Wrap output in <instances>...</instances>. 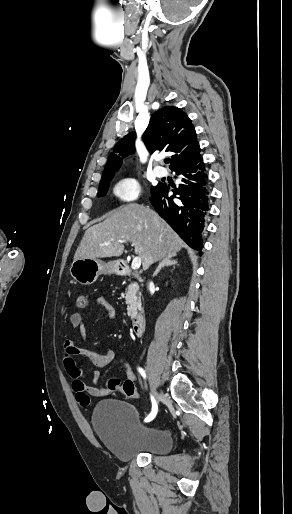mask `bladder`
<instances>
[{
  "label": "bladder",
  "mask_w": 292,
  "mask_h": 514,
  "mask_svg": "<svg viewBox=\"0 0 292 514\" xmlns=\"http://www.w3.org/2000/svg\"><path fill=\"white\" fill-rule=\"evenodd\" d=\"M91 422L98 439L120 461H129L140 454H165L172 448L171 433L141 423L137 408L125 401L100 402Z\"/></svg>",
  "instance_id": "1"
}]
</instances>
